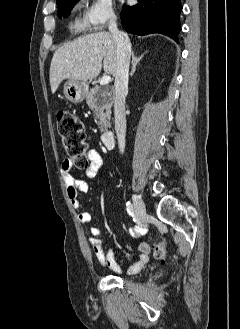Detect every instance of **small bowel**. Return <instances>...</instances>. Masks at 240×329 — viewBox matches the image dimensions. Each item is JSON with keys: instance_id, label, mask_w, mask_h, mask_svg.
<instances>
[{"instance_id": "1", "label": "small bowel", "mask_w": 240, "mask_h": 329, "mask_svg": "<svg viewBox=\"0 0 240 329\" xmlns=\"http://www.w3.org/2000/svg\"><path fill=\"white\" fill-rule=\"evenodd\" d=\"M88 165L84 168L83 173L87 178H94L99 173L102 166V158L95 149H90L87 152ZM72 161L65 159L60 165V174L64 181L67 197L75 209H82L83 203L79 200V193L88 191V184L79 179H75L71 174ZM78 219L82 224H88L92 220V216L87 211H82L78 214ZM102 230L99 227H92L90 229L89 244L93 248L94 253L101 265L107 267L114 273H121V268L115 259V251L111 248H104L99 239ZM143 233V228L135 227L130 230V235L134 238ZM127 248H129L127 246ZM139 256L137 260L129 267V274H137L142 268L149 263L150 247L147 243H140L137 245Z\"/></svg>"}]
</instances>
